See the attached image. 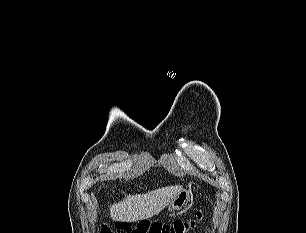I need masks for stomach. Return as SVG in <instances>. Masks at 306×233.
<instances>
[{
  "instance_id": "stomach-1",
  "label": "stomach",
  "mask_w": 306,
  "mask_h": 233,
  "mask_svg": "<svg viewBox=\"0 0 306 233\" xmlns=\"http://www.w3.org/2000/svg\"><path fill=\"white\" fill-rule=\"evenodd\" d=\"M190 200V191L182 189L177 196L169 203V211H178L182 209Z\"/></svg>"
}]
</instances>
